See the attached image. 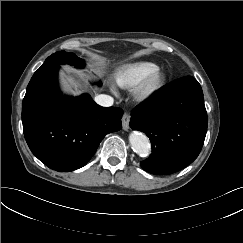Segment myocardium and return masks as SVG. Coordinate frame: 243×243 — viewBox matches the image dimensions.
Masks as SVG:
<instances>
[{
  "mask_svg": "<svg viewBox=\"0 0 243 243\" xmlns=\"http://www.w3.org/2000/svg\"><path fill=\"white\" fill-rule=\"evenodd\" d=\"M166 77L160 70H155L146 76L133 91L134 98L144 102L155 96L163 87Z\"/></svg>",
  "mask_w": 243,
  "mask_h": 243,
  "instance_id": "myocardium-1",
  "label": "myocardium"
}]
</instances>
